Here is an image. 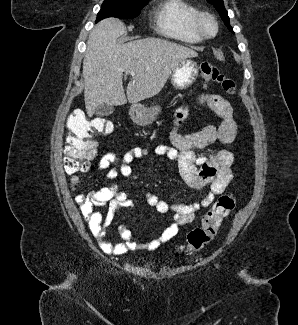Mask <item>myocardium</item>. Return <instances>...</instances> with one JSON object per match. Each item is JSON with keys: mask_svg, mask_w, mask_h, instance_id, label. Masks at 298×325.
Wrapping results in <instances>:
<instances>
[{"mask_svg": "<svg viewBox=\"0 0 298 325\" xmlns=\"http://www.w3.org/2000/svg\"><path fill=\"white\" fill-rule=\"evenodd\" d=\"M194 27L203 39H211L217 34V25L207 13H199L194 21Z\"/></svg>", "mask_w": 298, "mask_h": 325, "instance_id": "obj_1", "label": "myocardium"}]
</instances>
